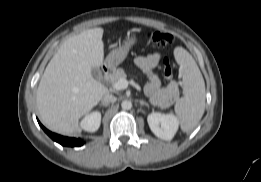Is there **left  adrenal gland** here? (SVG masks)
<instances>
[{
  "label": "left adrenal gland",
  "instance_id": "1",
  "mask_svg": "<svg viewBox=\"0 0 261 182\" xmlns=\"http://www.w3.org/2000/svg\"><path fill=\"white\" fill-rule=\"evenodd\" d=\"M140 105H145V106L149 107V104L147 102H144V101H141Z\"/></svg>",
  "mask_w": 261,
  "mask_h": 182
}]
</instances>
